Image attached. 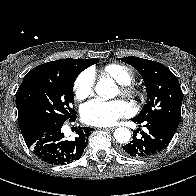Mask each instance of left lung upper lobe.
<instances>
[{"mask_svg": "<svg viewBox=\"0 0 196 196\" xmlns=\"http://www.w3.org/2000/svg\"><path fill=\"white\" fill-rule=\"evenodd\" d=\"M118 60L133 66L142 76L146 86L147 103L134 118L157 119L177 130L183 93L176 76L159 62L139 57H123Z\"/></svg>", "mask_w": 196, "mask_h": 196, "instance_id": "obj_1", "label": "left lung upper lobe"}]
</instances>
